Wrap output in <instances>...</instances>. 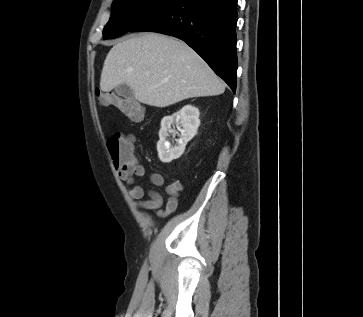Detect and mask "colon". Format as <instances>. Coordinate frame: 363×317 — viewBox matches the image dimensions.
I'll use <instances>...</instances> for the list:
<instances>
[{
  "mask_svg": "<svg viewBox=\"0 0 363 317\" xmlns=\"http://www.w3.org/2000/svg\"><path fill=\"white\" fill-rule=\"evenodd\" d=\"M97 97L103 105L114 106L131 121L139 122L143 119V108L132 98L112 91H100ZM106 147L115 166L127 167L136 163L133 143L122 133L116 132L109 136Z\"/></svg>",
  "mask_w": 363,
  "mask_h": 317,
  "instance_id": "5ec220e1",
  "label": "colon"
}]
</instances>
